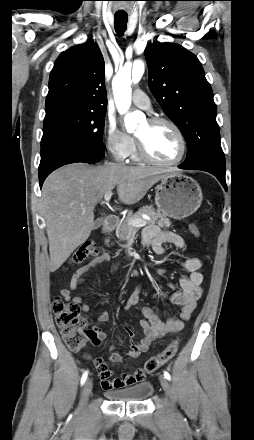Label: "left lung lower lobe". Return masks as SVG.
I'll return each mask as SVG.
<instances>
[{
  "instance_id": "obj_1",
  "label": "left lung lower lobe",
  "mask_w": 254,
  "mask_h": 440,
  "mask_svg": "<svg viewBox=\"0 0 254 440\" xmlns=\"http://www.w3.org/2000/svg\"><path fill=\"white\" fill-rule=\"evenodd\" d=\"M179 168H181V169H190V170H203V171H207V172L213 174L214 176H216L217 179L223 185V187L226 189L225 167L220 166L217 163L203 161V162L197 163L195 165H190V166H185V165L181 164L179 166Z\"/></svg>"
}]
</instances>
